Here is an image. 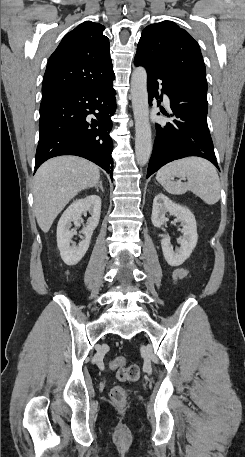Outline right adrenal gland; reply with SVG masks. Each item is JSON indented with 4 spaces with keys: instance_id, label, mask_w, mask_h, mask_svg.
I'll return each instance as SVG.
<instances>
[{
    "instance_id": "obj_1",
    "label": "right adrenal gland",
    "mask_w": 245,
    "mask_h": 457,
    "mask_svg": "<svg viewBox=\"0 0 245 457\" xmlns=\"http://www.w3.org/2000/svg\"><path fill=\"white\" fill-rule=\"evenodd\" d=\"M97 192H99V188H101L102 192H104V188L102 186V180H100L99 184H96L95 186Z\"/></svg>"
}]
</instances>
